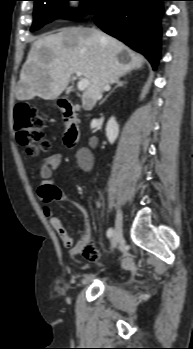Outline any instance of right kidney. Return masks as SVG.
<instances>
[{
  "label": "right kidney",
  "mask_w": 193,
  "mask_h": 349,
  "mask_svg": "<svg viewBox=\"0 0 193 349\" xmlns=\"http://www.w3.org/2000/svg\"><path fill=\"white\" fill-rule=\"evenodd\" d=\"M119 134V125L117 124L114 117H111L106 125V137L108 141L113 144Z\"/></svg>",
  "instance_id": "right-kidney-1"
}]
</instances>
